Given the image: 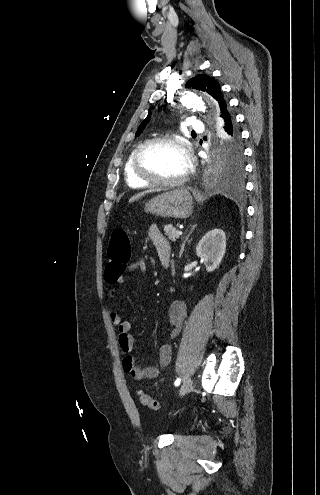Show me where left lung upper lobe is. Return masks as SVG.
<instances>
[{"mask_svg":"<svg viewBox=\"0 0 320 495\" xmlns=\"http://www.w3.org/2000/svg\"><path fill=\"white\" fill-rule=\"evenodd\" d=\"M186 88L197 89L210 94L218 102L219 116L228 110V103L224 98L219 82L214 77L206 74L197 75L186 83ZM150 116L151 114L140 124L136 136L142 132L150 120ZM221 135L220 142L218 143L220 167L229 175L238 176L244 168L240 132L236 125H234L230 132H222Z\"/></svg>","mask_w":320,"mask_h":495,"instance_id":"5c2ea615","label":"left lung upper lobe"}]
</instances>
